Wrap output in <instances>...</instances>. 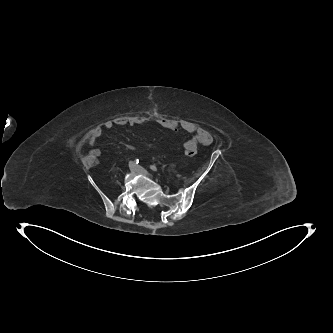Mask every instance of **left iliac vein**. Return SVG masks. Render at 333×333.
Masks as SVG:
<instances>
[{"label": "left iliac vein", "mask_w": 333, "mask_h": 333, "mask_svg": "<svg viewBox=\"0 0 333 333\" xmlns=\"http://www.w3.org/2000/svg\"><path fill=\"white\" fill-rule=\"evenodd\" d=\"M135 171L138 172L139 174L144 175V176L151 177V174L141 166H137L135 168Z\"/></svg>", "instance_id": "1"}]
</instances>
